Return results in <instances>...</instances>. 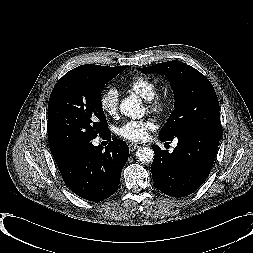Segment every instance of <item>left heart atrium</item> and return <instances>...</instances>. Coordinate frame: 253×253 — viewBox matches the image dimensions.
I'll return each mask as SVG.
<instances>
[{
	"instance_id": "1",
	"label": "left heart atrium",
	"mask_w": 253,
	"mask_h": 253,
	"mask_svg": "<svg viewBox=\"0 0 253 253\" xmlns=\"http://www.w3.org/2000/svg\"><path fill=\"white\" fill-rule=\"evenodd\" d=\"M154 128V122L150 119L130 120L121 125L118 135L133 142H141L147 139L148 131Z\"/></svg>"
}]
</instances>
